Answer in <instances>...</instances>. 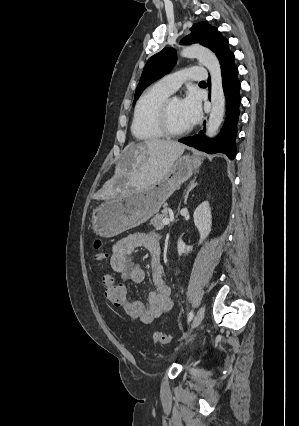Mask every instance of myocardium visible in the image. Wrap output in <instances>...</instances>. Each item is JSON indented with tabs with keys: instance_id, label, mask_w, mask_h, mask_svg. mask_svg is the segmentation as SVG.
<instances>
[{
	"instance_id": "1",
	"label": "myocardium",
	"mask_w": 299,
	"mask_h": 426,
	"mask_svg": "<svg viewBox=\"0 0 299 426\" xmlns=\"http://www.w3.org/2000/svg\"><path fill=\"white\" fill-rule=\"evenodd\" d=\"M178 99L177 97H168L161 104L157 113V125L160 131L169 137H177L188 133L191 130V126H187L183 129H173L169 123V110L173 100Z\"/></svg>"
}]
</instances>
